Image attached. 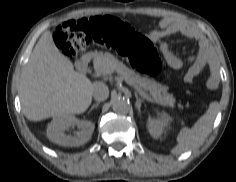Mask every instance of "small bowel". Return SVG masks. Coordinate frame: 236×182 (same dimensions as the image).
Wrapping results in <instances>:
<instances>
[{
  "instance_id": "1",
  "label": "small bowel",
  "mask_w": 236,
  "mask_h": 182,
  "mask_svg": "<svg viewBox=\"0 0 236 182\" xmlns=\"http://www.w3.org/2000/svg\"><path fill=\"white\" fill-rule=\"evenodd\" d=\"M158 27V29L147 32L145 36L151 41L152 44L158 46L159 51L170 67L180 69L185 65L190 64L188 71L183 77V82L186 84H192L196 76L206 64L207 53L205 45L202 44L200 46V50L196 55L188 58H180L173 53L168 43L164 41V38L180 33L187 38L198 39V33L193 27L189 26L185 22L172 17L162 18L159 21ZM208 85L210 87L213 86L212 82H209Z\"/></svg>"
}]
</instances>
